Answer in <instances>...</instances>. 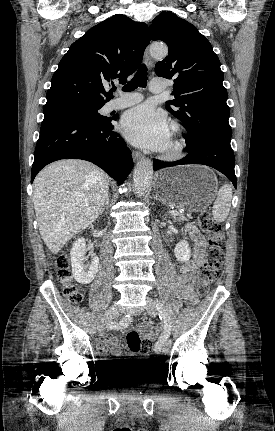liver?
<instances>
[{
    "label": "liver",
    "instance_id": "1",
    "mask_svg": "<svg viewBox=\"0 0 275 431\" xmlns=\"http://www.w3.org/2000/svg\"><path fill=\"white\" fill-rule=\"evenodd\" d=\"M34 185L39 232L53 254L97 219L109 194V177L94 164L75 159L45 167Z\"/></svg>",
    "mask_w": 275,
    "mask_h": 431
}]
</instances>
